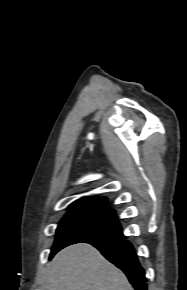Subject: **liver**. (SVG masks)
<instances>
[{"label": "liver", "instance_id": "obj_1", "mask_svg": "<svg viewBox=\"0 0 187 290\" xmlns=\"http://www.w3.org/2000/svg\"><path fill=\"white\" fill-rule=\"evenodd\" d=\"M45 282V290H134L121 270L86 243L57 253Z\"/></svg>", "mask_w": 187, "mask_h": 290}]
</instances>
